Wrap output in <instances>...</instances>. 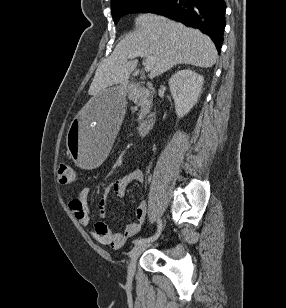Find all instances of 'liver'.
I'll use <instances>...</instances> for the list:
<instances>
[{
  "instance_id": "6515ba94",
  "label": "liver",
  "mask_w": 286,
  "mask_h": 308,
  "mask_svg": "<svg viewBox=\"0 0 286 308\" xmlns=\"http://www.w3.org/2000/svg\"><path fill=\"white\" fill-rule=\"evenodd\" d=\"M135 25L136 31L122 39L99 64L88 91L93 98L110 86L128 83L138 63L128 61V55L135 51L155 57L150 77L159 76L177 64L208 68L216 62L214 43L199 30L153 14L140 15Z\"/></svg>"
}]
</instances>
